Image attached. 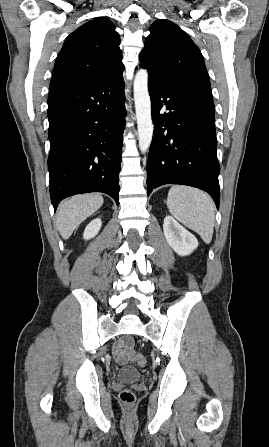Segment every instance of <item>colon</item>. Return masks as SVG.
Masks as SVG:
<instances>
[{
    "instance_id": "5ec220e1",
    "label": "colon",
    "mask_w": 269,
    "mask_h": 447,
    "mask_svg": "<svg viewBox=\"0 0 269 447\" xmlns=\"http://www.w3.org/2000/svg\"><path fill=\"white\" fill-rule=\"evenodd\" d=\"M130 345H131L130 342H126L124 344V348H122L121 350H125L127 352L130 362L135 363L139 366H145L146 358L142 355H137L134 352H131L129 350ZM119 399L123 405L130 406V405L134 404L136 396H135V393L131 389L126 388L120 392Z\"/></svg>"
}]
</instances>
